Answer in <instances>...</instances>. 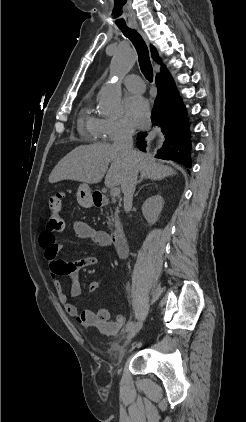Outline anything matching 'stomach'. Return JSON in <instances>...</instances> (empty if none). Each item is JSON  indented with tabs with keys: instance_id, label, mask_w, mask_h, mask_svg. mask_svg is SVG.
<instances>
[{
	"instance_id": "1",
	"label": "stomach",
	"mask_w": 246,
	"mask_h": 422,
	"mask_svg": "<svg viewBox=\"0 0 246 422\" xmlns=\"http://www.w3.org/2000/svg\"><path fill=\"white\" fill-rule=\"evenodd\" d=\"M77 201L84 208H90L93 205V193L88 184H80L77 190Z\"/></svg>"
}]
</instances>
